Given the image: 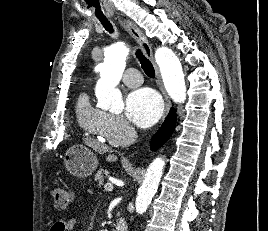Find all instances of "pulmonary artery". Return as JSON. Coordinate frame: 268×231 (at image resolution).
I'll return each instance as SVG.
<instances>
[{
    "instance_id": "1",
    "label": "pulmonary artery",
    "mask_w": 268,
    "mask_h": 231,
    "mask_svg": "<svg viewBox=\"0 0 268 231\" xmlns=\"http://www.w3.org/2000/svg\"><path fill=\"white\" fill-rule=\"evenodd\" d=\"M123 82L129 87H136L142 83L141 73L135 68H128L122 76Z\"/></svg>"
}]
</instances>
